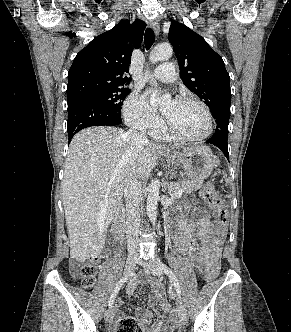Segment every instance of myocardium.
Here are the masks:
<instances>
[{"mask_svg": "<svg viewBox=\"0 0 291 332\" xmlns=\"http://www.w3.org/2000/svg\"><path fill=\"white\" fill-rule=\"evenodd\" d=\"M176 101L181 102H193L196 103L204 112L207 120V128L206 131L199 136H188L177 132L165 119L164 120V130L165 132L172 138L182 140V141H190V142H199L207 139L213 132L214 129V119L213 115L209 109V107L199 98L190 96V95H182L176 98Z\"/></svg>", "mask_w": 291, "mask_h": 332, "instance_id": "f54148a6", "label": "myocardium"}]
</instances>
